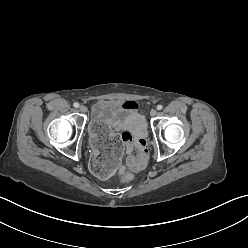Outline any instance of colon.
I'll return each mask as SVG.
<instances>
[{
	"label": "colon",
	"instance_id": "obj_1",
	"mask_svg": "<svg viewBox=\"0 0 248 248\" xmlns=\"http://www.w3.org/2000/svg\"><path fill=\"white\" fill-rule=\"evenodd\" d=\"M91 131L93 134L90 141L96 148L97 154L92 157L90 168L93 173L104 178L123 164L122 141L104 122L93 123ZM120 178L123 183H130L133 180L132 174L128 172H122Z\"/></svg>",
	"mask_w": 248,
	"mask_h": 248
}]
</instances>
